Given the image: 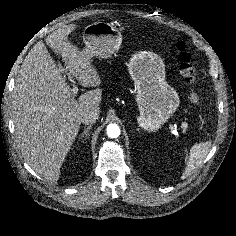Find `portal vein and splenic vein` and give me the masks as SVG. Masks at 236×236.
<instances>
[{
    "label": "portal vein and splenic vein",
    "instance_id": "1",
    "mask_svg": "<svg viewBox=\"0 0 236 236\" xmlns=\"http://www.w3.org/2000/svg\"><path fill=\"white\" fill-rule=\"evenodd\" d=\"M69 79L73 82V89H72V94H73V97L76 96L77 92H78V87L77 85L75 84V81L73 80L72 77L69 76ZM169 127L172 131H175L177 133V130L176 128L172 125V124H169ZM182 127L183 128H187V124L186 123H182Z\"/></svg>",
    "mask_w": 236,
    "mask_h": 236
}]
</instances>
